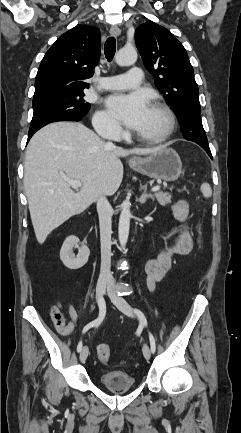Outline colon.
<instances>
[{
  "label": "colon",
  "mask_w": 241,
  "mask_h": 433,
  "mask_svg": "<svg viewBox=\"0 0 241 433\" xmlns=\"http://www.w3.org/2000/svg\"><path fill=\"white\" fill-rule=\"evenodd\" d=\"M99 359L103 362H108L111 357V350L107 344H100L97 348Z\"/></svg>",
  "instance_id": "obj_1"
}]
</instances>
